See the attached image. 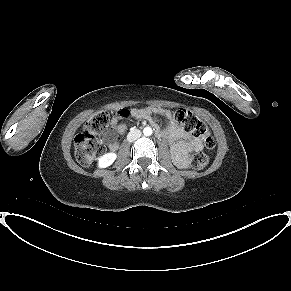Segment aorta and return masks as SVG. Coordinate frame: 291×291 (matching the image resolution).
Wrapping results in <instances>:
<instances>
[{"mask_svg": "<svg viewBox=\"0 0 291 291\" xmlns=\"http://www.w3.org/2000/svg\"><path fill=\"white\" fill-rule=\"evenodd\" d=\"M143 133H144L145 136H151L152 133H153V132H152V128L149 127V126L145 127V128L143 129Z\"/></svg>", "mask_w": 291, "mask_h": 291, "instance_id": "762f6f07", "label": "aorta"}]
</instances>
